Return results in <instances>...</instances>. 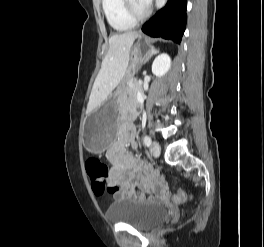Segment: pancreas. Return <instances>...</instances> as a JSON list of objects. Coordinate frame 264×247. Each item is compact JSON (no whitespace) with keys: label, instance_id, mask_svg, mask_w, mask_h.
Segmentation results:
<instances>
[{"label":"pancreas","instance_id":"pancreas-1","mask_svg":"<svg viewBox=\"0 0 264 247\" xmlns=\"http://www.w3.org/2000/svg\"><path fill=\"white\" fill-rule=\"evenodd\" d=\"M140 89V85L138 80L134 77L129 78L124 86V93L122 95V99L124 102H132L134 106L136 103V93Z\"/></svg>","mask_w":264,"mask_h":247}]
</instances>
